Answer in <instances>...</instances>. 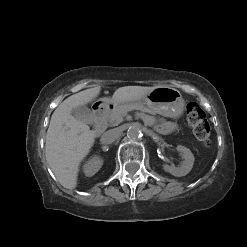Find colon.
<instances>
[{
    "label": "colon",
    "mask_w": 247,
    "mask_h": 247,
    "mask_svg": "<svg viewBox=\"0 0 247 247\" xmlns=\"http://www.w3.org/2000/svg\"><path fill=\"white\" fill-rule=\"evenodd\" d=\"M186 117L197 140L205 147L211 144L210 125L204 111L196 103L187 105Z\"/></svg>",
    "instance_id": "5ec220e1"
}]
</instances>
